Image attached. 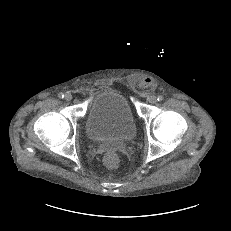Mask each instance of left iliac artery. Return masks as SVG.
Segmentation results:
<instances>
[{
  "instance_id": "44dca946",
  "label": "left iliac artery",
  "mask_w": 231,
  "mask_h": 231,
  "mask_svg": "<svg viewBox=\"0 0 231 231\" xmlns=\"http://www.w3.org/2000/svg\"><path fill=\"white\" fill-rule=\"evenodd\" d=\"M163 99H164V98H163L162 95H159V96L157 97V100H158L159 102H161Z\"/></svg>"
}]
</instances>
